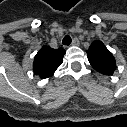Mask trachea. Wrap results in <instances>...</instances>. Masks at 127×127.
<instances>
[{
	"instance_id": "3493384b",
	"label": "trachea",
	"mask_w": 127,
	"mask_h": 127,
	"mask_svg": "<svg viewBox=\"0 0 127 127\" xmlns=\"http://www.w3.org/2000/svg\"><path fill=\"white\" fill-rule=\"evenodd\" d=\"M62 43L64 45H70V43H71V37L69 35H65V37L63 38Z\"/></svg>"
}]
</instances>
